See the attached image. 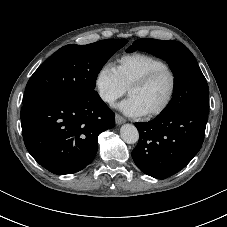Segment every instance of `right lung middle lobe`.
I'll return each instance as SVG.
<instances>
[{
  "label": "right lung middle lobe",
  "mask_w": 227,
  "mask_h": 227,
  "mask_svg": "<svg viewBox=\"0 0 227 227\" xmlns=\"http://www.w3.org/2000/svg\"><path fill=\"white\" fill-rule=\"evenodd\" d=\"M127 40L107 39L88 45H66L50 56L29 79L23 104L38 98L67 95L88 98L107 60Z\"/></svg>",
  "instance_id": "obj_1"
}]
</instances>
